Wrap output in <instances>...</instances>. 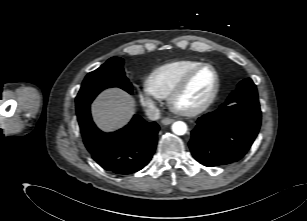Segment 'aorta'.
Returning <instances> with one entry per match:
<instances>
[{
  "mask_svg": "<svg viewBox=\"0 0 307 221\" xmlns=\"http://www.w3.org/2000/svg\"><path fill=\"white\" fill-rule=\"evenodd\" d=\"M172 131L176 135H184L187 132V125L182 121H176L172 124Z\"/></svg>",
  "mask_w": 307,
  "mask_h": 221,
  "instance_id": "obj_1",
  "label": "aorta"
}]
</instances>
